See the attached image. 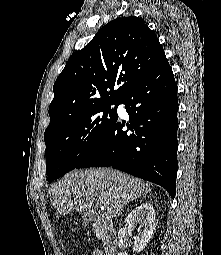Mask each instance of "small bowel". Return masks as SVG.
Returning <instances> with one entry per match:
<instances>
[{"label":"small bowel","mask_w":221,"mask_h":255,"mask_svg":"<svg viewBox=\"0 0 221 255\" xmlns=\"http://www.w3.org/2000/svg\"><path fill=\"white\" fill-rule=\"evenodd\" d=\"M90 255H103V253L100 250H95Z\"/></svg>","instance_id":"small-bowel-1"}]
</instances>
